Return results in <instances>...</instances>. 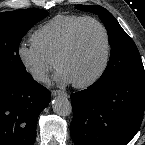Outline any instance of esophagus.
I'll list each match as a JSON object with an SVG mask.
<instances>
[{"label":"esophagus","instance_id":"34e87169","mask_svg":"<svg viewBox=\"0 0 145 145\" xmlns=\"http://www.w3.org/2000/svg\"><path fill=\"white\" fill-rule=\"evenodd\" d=\"M51 95L52 96H58V95L68 96L66 92L61 91V90H52Z\"/></svg>","mask_w":145,"mask_h":145}]
</instances>
